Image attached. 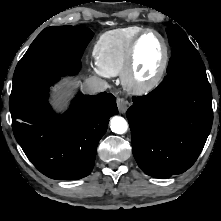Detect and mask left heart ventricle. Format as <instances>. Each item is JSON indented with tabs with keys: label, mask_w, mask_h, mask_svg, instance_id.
I'll list each match as a JSON object with an SVG mask.
<instances>
[{
	"label": "left heart ventricle",
	"mask_w": 221,
	"mask_h": 221,
	"mask_svg": "<svg viewBox=\"0 0 221 221\" xmlns=\"http://www.w3.org/2000/svg\"><path fill=\"white\" fill-rule=\"evenodd\" d=\"M163 58V46L154 34L145 35L139 42L134 68V79L143 83L157 72Z\"/></svg>",
	"instance_id": "1"
}]
</instances>
